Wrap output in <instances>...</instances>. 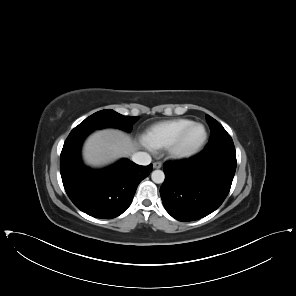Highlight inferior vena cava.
<instances>
[{
	"instance_id": "inferior-vena-cava-1",
	"label": "inferior vena cava",
	"mask_w": 296,
	"mask_h": 296,
	"mask_svg": "<svg viewBox=\"0 0 296 296\" xmlns=\"http://www.w3.org/2000/svg\"><path fill=\"white\" fill-rule=\"evenodd\" d=\"M131 159L139 165H149L152 161L151 156L146 152H136L132 155Z\"/></svg>"
}]
</instances>
